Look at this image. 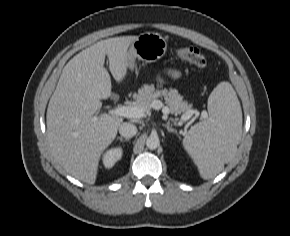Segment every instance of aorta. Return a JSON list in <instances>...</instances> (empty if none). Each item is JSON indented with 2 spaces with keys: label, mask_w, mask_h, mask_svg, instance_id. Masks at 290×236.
<instances>
[{
  "label": "aorta",
  "mask_w": 290,
  "mask_h": 236,
  "mask_svg": "<svg viewBox=\"0 0 290 236\" xmlns=\"http://www.w3.org/2000/svg\"><path fill=\"white\" fill-rule=\"evenodd\" d=\"M160 145V141L157 135H150L146 140V146L150 150H154L158 148Z\"/></svg>",
  "instance_id": "obj_1"
}]
</instances>
